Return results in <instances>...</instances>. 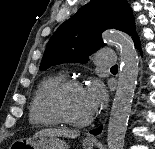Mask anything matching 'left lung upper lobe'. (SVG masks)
<instances>
[{
  "label": "left lung upper lobe",
  "instance_id": "1",
  "mask_svg": "<svg viewBox=\"0 0 155 149\" xmlns=\"http://www.w3.org/2000/svg\"><path fill=\"white\" fill-rule=\"evenodd\" d=\"M114 28L129 35L135 33L132 10L126 0H91L50 38L39 69L80 62L104 46L102 32Z\"/></svg>",
  "mask_w": 155,
  "mask_h": 149
}]
</instances>
